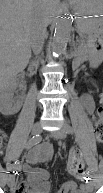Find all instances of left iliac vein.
I'll list each match as a JSON object with an SVG mask.
<instances>
[{"instance_id": "1", "label": "left iliac vein", "mask_w": 103, "mask_h": 193, "mask_svg": "<svg viewBox=\"0 0 103 193\" xmlns=\"http://www.w3.org/2000/svg\"><path fill=\"white\" fill-rule=\"evenodd\" d=\"M52 136L54 138H56V139H64L66 137V130H65V128H61V129H59L57 131L52 132ZM87 186H88L89 189L92 190L93 184L91 182H89L87 184Z\"/></svg>"}]
</instances>
